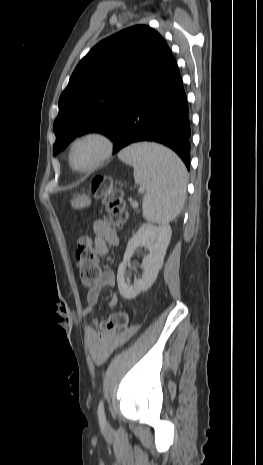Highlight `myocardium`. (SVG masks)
<instances>
[{
    "label": "myocardium",
    "instance_id": "f54148a6",
    "mask_svg": "<svg viewBox=\"0 0 263 465\" xmlns=\"http://www.w3.org/2000/svg\"><path fill=\"white\" fill-rule=\"evenodd\" d=\"M86 139H96L100 141L103 149H102L100 156L96 159V161L92 165H90L89 167L80 169V168L75 167L73 164L72 152L77 143L83 140H86ZM113 150H114V142L109 134H107L106 132L102 130H97V129L88 130V131H85L77 135L70 142L69 147H68V162H69L70 167L76 172L91 173L99 169L105 162H107L111 158L113 154Z\"/></svg>",
    "mask_w": 263,
    "mask_h": 465
}]
</instances>
